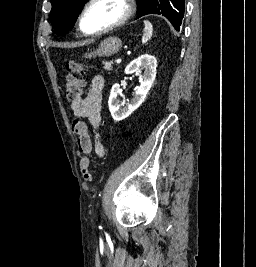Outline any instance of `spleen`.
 I'll use <instances>...</instances> for the list:
<instances>
[{
    "instance_id": "spleen-1",
    "label": "spleen",
    "mask_w": 256,
    "mask_h": 267,
    "mask_svg": "<svg viewBox=\"0 0 256 267\" xmlns=\"http://www.w3.org/2000/svg\"><path fill=\"white\" fill-rule=\"evenodd\" d=\"M144 30H143V36H142V44H146V42H149L153 36V26L151 22H148V20H144Z\"/></svg>"
}]
</instances>
